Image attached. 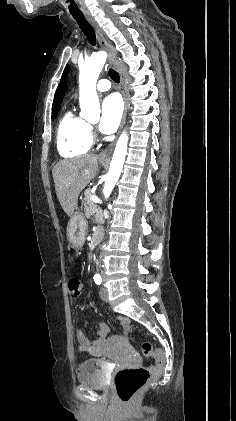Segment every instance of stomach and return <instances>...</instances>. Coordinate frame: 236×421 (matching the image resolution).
<instances>
[{
	"label": "stomach",
	"mask_w": 236,
	"mask_h": 421,
	"mask_svg": "<svg viewBox=\"0 0 236 421\" xmlns=\"http://www.w3.org/2000/svg\"><path fill=\"white\" fill-rule=\"evenodd\" d=\"M102 164H107L104 160H100ZM88 231V223L83 213H73L67 225V241H69L73 249H80L86 241Z\"/></svg>",
	"instance_id": "stomach-1"
}]
</instances>
